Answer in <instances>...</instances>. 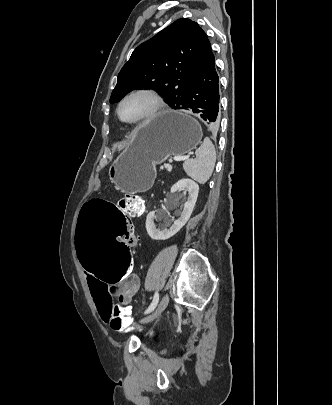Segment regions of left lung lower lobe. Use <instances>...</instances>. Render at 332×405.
I'll return each instance as SVG.
<instances>
[{"mask_svg": "<svg viewBox=\"0 0 332 405\" xmlns=\"http://www.w3.org/2000/svg\"><path fill=\"white\" fill-rule=\"evenodd\" d=\"M219 102V77L215 69V58L211 52L208 59L193 76L191 86L180 109L193 112L207 122L212 129H218L221 118Z\"/></svg>", "mask_w": 332, "mask_h": 405, "instance_id": "obj_1", "label": "left lung lower lobe"}]
</instances>
